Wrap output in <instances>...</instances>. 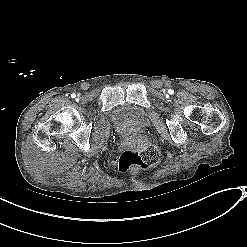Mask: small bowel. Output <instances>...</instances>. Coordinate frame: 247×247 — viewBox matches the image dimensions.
Returning a JSON list of instances; mask_svg holds the SVG:
<instances>
[{
    "label": "small bowel",
    "instance_id": "obj_1",
    "mask_svg": "<svg viewBox=\"0 0 247 247\" xmlns=\"http://www.w3.org/2000/svg\"><path fill=\"white\" fill-rule=\"evenodd\" d=\"M111 161H112L113 163H116V162L118 161V158H117L116 156H113V157L111 158ZM110 169H111L112 171H115V170L117 169V166H116L115 164H112V165L110 166Z\"/></svg>",
    "mask_w": 247,
    "mask_h": 247
}]
</instances>
